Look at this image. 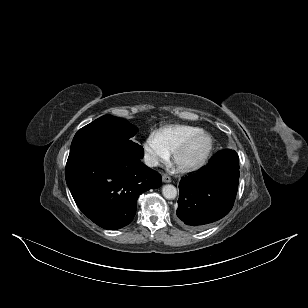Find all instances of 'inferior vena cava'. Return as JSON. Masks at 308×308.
<instances>
[{
    "label": "inferior vena cava",
    "mask_w": 308,
    "mask_h": 308,
    "mask_svg": "<svg viewBox=\"0 0 308 308\" xmlns=\"http://www.w3.org/2000/svg\"><path fill=\"white\" fill-rule=\"evenodd\" d=\"M144 162L149 167H155L158 165V160L150 155H145Z\"/></svg>",
    "instance_id": "obj_1"
}]
</instances>
